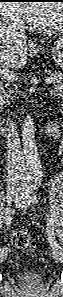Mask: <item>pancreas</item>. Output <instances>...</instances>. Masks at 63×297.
I'll use <instances>...</instances> for the list:
<instances>
[{
  "instance_id": "cf45deb5",
  "label": "pancreas",
  "mask_w": 63,
  "mask_h": 297,
  "mask_svg": "<svg viewBox=\"0 0 63 297\" xmlns=\"http://www.w3.org/2000/svg\"><path fill=\"white\" fill-rule=\"evenodd\" d=\"M54 81L52 82L53 88L61 89L63 86V74L61 72L54 71L51 73V76Z\"/></svg>"
}]
</instances>
